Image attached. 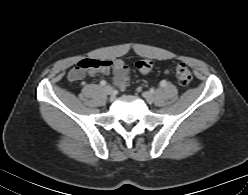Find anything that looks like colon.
<instances>
[{
    "label": "colon",
    "instance_id": "1",
    "mask_svg": "<svg viewBox=\"0 0 248 195\" xmlns=\"http://www.w3.org/2000/svg\"><path fill=\"white\" fill-rule=\"evenodd\" d=\"M136 66L141 73L147 74L152 70L154 62L149 59H143L138 61ZM93 68L94 65L92 64L91 59L82 60L69 71L68 78L71 81L81 80ZM175 76L178 83L182 86H186L192 81V73L184 63L177 64L175 68ZM128 83L129 78L128 76H125L119 80L118 87L121 89L126 88Z\"/></svg>",
    "mask_w": 248,
    "mask_h": 195
}]
</instances>
